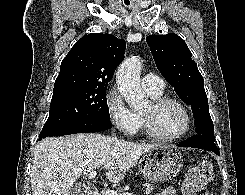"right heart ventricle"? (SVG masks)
I'll return each mask as SVG.
<instances>
[{"mask_svg": "<svg viewBox=\"0 0 245 195\" xmlns=\"http://www.w3.org/2000/svg\"><path fill=\"white\" fill-rule=\"evenodd\" d=\"M148 94L151 96V98L155 99V98L160 97L162 95V92L161 93H150V92H148ZM135 114H136L137 121H138V124H137V130H138L142 127V118H141L140 113H135Z\"/></svg>", "mask_w": 245, "mask_h": 195, "instance_id": "e07e8e85", "label": "right heart ventricle"}]
</instances>
